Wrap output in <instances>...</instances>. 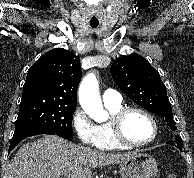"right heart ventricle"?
Here are the masks:
<instances>
[{
    "label": "right heart ventricle",
    "mask_w": 194,
    "mask_h": 178,
    "mask_svg": "<svg viewBox=\"0 0 194 178\" xmlns=\"http://www.w3.org/2000/svg\"><path fill=\"white\" fill-rule=\"evenodd\" d=\"M107 110L112 115L123 108L122 103L105 104ZM97 141L95 146L101 150H118L126 147L121 146L114 139L109 122L102 123L96 126Z\"/></svg>",
    "instance_id": "e07e8e85"
}]
</instances>
